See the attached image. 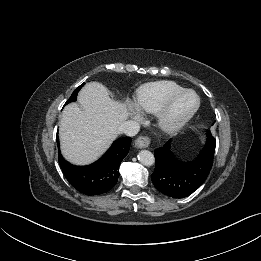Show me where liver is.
<instances>
[{
	"instance_id": "6515ba94",
	"label": "liver",
	"mask_w": 261,
	"mask_h": 261,
	"mask_svg": "<svg viewBox=\"0 0 261 261\" xmlns=\"http://www.w3.org/2000/svg\"><path fill=\"white\" fill-rule=\"evenodd\" d=\"M78 102L81 108L71 103L63 110L61 152L69 162L87 165L107 150L130 113L127 105L112 100L99 82L87 83L78 94Z\"/></svg>"
}]
</instances>
